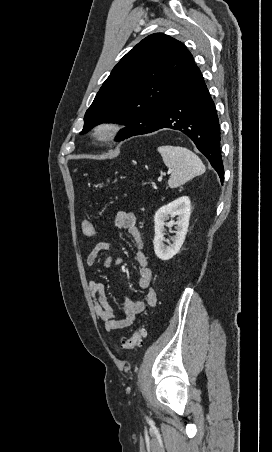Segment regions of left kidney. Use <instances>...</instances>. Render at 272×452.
<instances>
[{
  "instance_id": "1",
  "label": "left kidney",
  "mask_w": 272,
  "mask_h": 452,
  "mask_svg": "<svg viewBox=\"0 0 272 452\" xmlns=\"http://www.w3.org/2000/svg\"><path fill=\"white\" fill-rule=\"evenodd\" d=\"M191 214V202L188 196H182L178 199L162 206L157 210L154 216L155 237L153 241L156 256L163 260H169L176 255L188 231L189 219ZM177 216V221H169V217ZM175 226V236L172 238V244L168 246L164 244V226Z\"/></svg>"
}]
</instances>
